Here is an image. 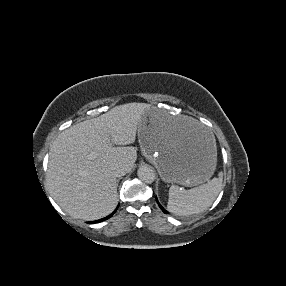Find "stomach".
<instances>
[{
  "label": "stomach",
  "mask_w": 286,
  "mask_h": 286,
  "mask_svg": "<svg viewBox=\"0 0 286 286\" xmlns=\"http://www.w3.org/2000/svg\"><path fill=\"white\" fill-rule=\"evenodd\" d=\"M138 139L143 155L164 182L193 187L214 174L217 138L201 122L148 110L139 122Z\"/></svg>",
  "instance_id": "obj_1"
}]
</instances>
